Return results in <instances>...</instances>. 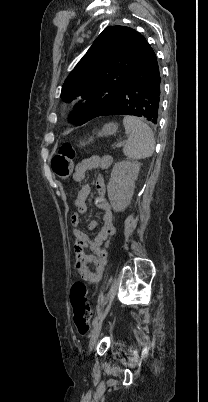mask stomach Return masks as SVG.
Returning a JSON list of instances; mask_svg holds the SVG:
<instances>
[{
    "mask_svg": "<svg viewBox=\"0 0 208 402\" xmlns=\"http://www.w3.org/2000/svg\"><path fill=\"white\" fill-rule=\"evenodd\" d=\"M117 130V124H113V122H111V124H105L101 132H98V136H113V134H116ZM89 142H92V138H90ZM80 146H85V142H81Z\"/></svg>",
    "mask_w": 208,
    "mask_h": 402,
    "instance_id": "1",
    "label": "stomach"
}]
</instances>
